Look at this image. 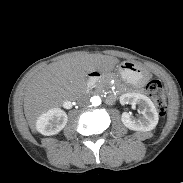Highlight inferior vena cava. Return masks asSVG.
<instances>
[{"label":"inferior vena cava","mask_w":183,"mask_h":183,"mask_svg":"<svg viewBox=\"0 0 183 183\" xmlns=\"http://www.w3.org/2000/svg\"><path fill=\"white\" fill-rule=\"evenodd\" d=\"M77 103L82 106L87 105L89 103V98L87 96H80L77 99Z\"/></svg>","instance_id":"1"}]
</instances>
